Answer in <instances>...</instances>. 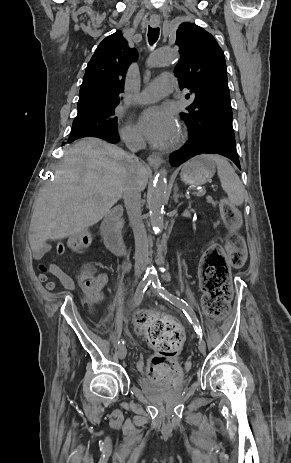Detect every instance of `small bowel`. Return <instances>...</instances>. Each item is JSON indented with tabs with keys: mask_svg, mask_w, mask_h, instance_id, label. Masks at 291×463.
<instances>
[{
	"mask_svg": "<svg viewBox=\"0 0 291 463\" xmlns=\"http://www.w3.org/2000/svg\"><path fill=\"white\" fill-rule=\"evenodd\" d=\"M47 250H48V247L44 246V245L34 246V248H33V256H34V258L35 259L42 258L43 255L47 252ZM56 251H57V254L59 256L63 255L64 252H65V245L62 244V243H58L57 246H56ZM123 267L125 269H127L128 264L125 262ZM39 269H40L41 273L38 275V279L41 282L45 283V287H46L47 290L53 291L56 288L55 282L52 281V280H49V278L47 276V273H49V274L53 275L54 277H56L60 281V283L62 284L64 289H66L68 291H73L75 289V281H74V279L69 274H67L61 268V266L58 265L57 263H55L53 261H50L47 266L40 265ZM106 280H107V277L105 275L99 276L100 284L105 283ZM81 302H82L83 305H85V298H81Z\"/></svg>",
	"mask_w": 291,
	"mask_h": 463,
	"instance_id": "small-bowel-1",
	"label": "small bowel"
}]
</instances>
